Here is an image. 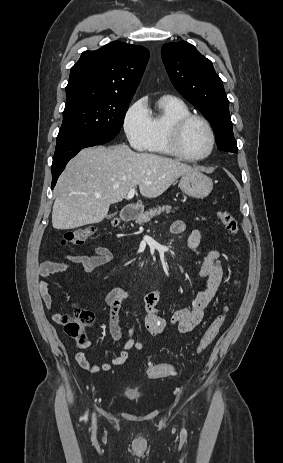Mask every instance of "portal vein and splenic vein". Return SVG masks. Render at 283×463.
<instances>
[{
	"mask_svg": "<svg viewBox=\"0 0 283 463\" xmlns=\"http://www.w3.org/2000/svg\"><path fill=\"white\" fill-rule=\"evenodd\" d=\"M135 193H136L135 188L130 189V191H129L128 194H127V199L133 198L134 195H135Z\"/></svg>",
	"mask_w": 283,
	"mask_h": 463,
	"instance_id": "portal-vein-and-splenic-vein-1",
	"label": "portal vein and splenic vein"
}]
</instances>
